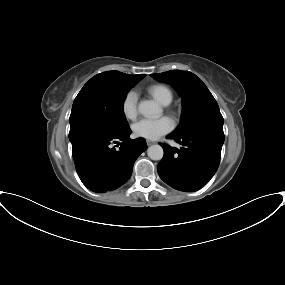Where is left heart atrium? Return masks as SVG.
Instances as JSON below:
<instances>
[{
  "label": "left heart atrium",
  "mask_w": 285,
  "mask_h": 285,
  "mask_svg": "<svg viewBox=\"0 0 285 285\" xmlns=\"http://www.w3.org/2000/svg\"><path fill=\"white\" fill-rule=\"evenodd\" d=\"M173 129V122L167 117L159 119L144 118L133 126V132L137 137L148 140H156L160 136L170 132Z\"/></svg>",
  "instance_id": "39dd6f15"
}]
</instances>
